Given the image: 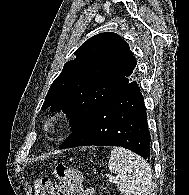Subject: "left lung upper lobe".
I'll return each instance as SVG.
<instances>
[{
  "label": "left lung upper lobe",
  "mask_w": 189,
  "mask_h": 195,
  "mask_svg": "<svg viewBox=\"0 0 189 195\" xmlns=\"http://www.w3.org/2000/svg\"><path fill=\"white\" fill-rule=\"evenodd\" d=\"M65 63L52 83L42 109L62 110L72 132L108 97L132 82L136 59L117 34L105 32L88 39Z\"/></svg>",
  "instance_id": "5c2ea615"
}]
</instances>
